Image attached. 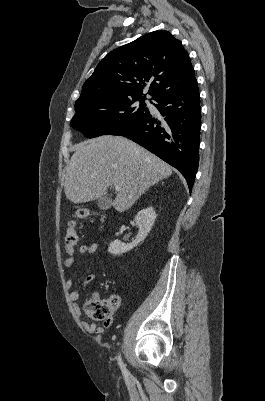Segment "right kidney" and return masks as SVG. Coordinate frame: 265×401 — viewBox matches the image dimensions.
I'll return each mask as SVG.
<instances>
[{"label": "right kidney", "instance_id": "obj_1", "mask_svg": "<svg viewBox=\"0 0 265 401\" xmlns=\"http://www.w3.org/2000/svg\"><path fill=\"white\" fill-rule=\"evenodd\" d=\"M157 215L154 211V207H147V209H142L139 211L138 215L135 217V223L139 227L138 235L132 243H120V241H112L108 247L109 253L112 255H122V253H127L131 251L134 247H137L141 241L146 239L148 233H150L156 219Z\"/></svg>", "mask_w": 265, "mask_h": 401}]
</instances>
